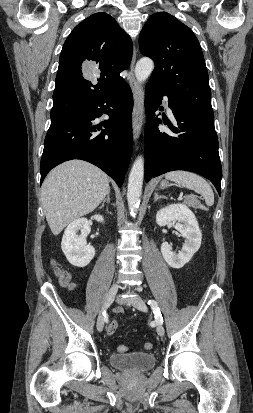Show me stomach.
Returning <instances> with one entry per match:
<instances>
[{
	"mask_svg": "<svg viewBox=\"0 0 253 413\" xmlns=\"http://www.w3.org/2000/svg\"><path fill=\"white\" fill-rule=\"evenodd\" d=\"M170 184L167 182V181H162L161 182V184H160V187L161 188H166V187H168Z\"/></svg>",
	"mask_w": 253,
	"mask_h": 413,
	"instance_id": "0dacf381",
	"label": "stomach"
}]
</instances>
